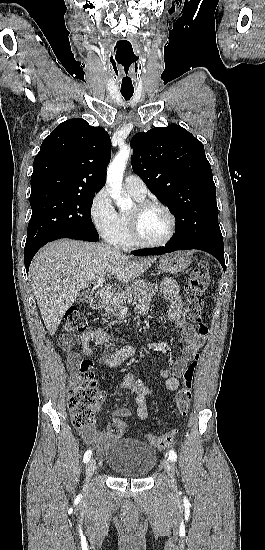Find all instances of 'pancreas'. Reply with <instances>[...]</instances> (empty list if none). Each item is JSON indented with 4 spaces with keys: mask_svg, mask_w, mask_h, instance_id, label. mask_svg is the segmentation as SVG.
Segmentation results:
<instances>
[{
    "mask_svg": "<svg viewBox=\"0 0 265 550\" xmlns=\"http://www.w3.org/2000/svg\"><path fill=\"white\" fill-rule=\"evenodd\" d=\"M156 292L157 288H154V284L143 280L134 281L124 291L118 293L109 301L105 311L110 316H117L126 307L127 303H130L132 300L151 301Z\"/></svg>",
    "mask_w": 265,
    "mask_h": 550,
    "instance_id": "obj_1",
    "label": "pancreas"
}]
</instances>
